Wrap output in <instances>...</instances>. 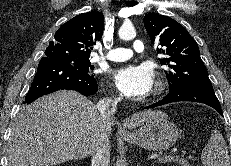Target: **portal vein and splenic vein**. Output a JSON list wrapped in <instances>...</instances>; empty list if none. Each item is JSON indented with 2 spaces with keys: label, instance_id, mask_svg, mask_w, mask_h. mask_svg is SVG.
<instances>
[{
  "label": "portal vein and splenic vein",
  "instance_id": "1",
  "mask_svg": "<svg viewBox=\"0 0 231 166\" xmlns=\"http://www.w3.org/2000/svg\"><path fill=\"white\" fill-rule=\"evenodd\" d=\"M171 153H172V152H171ZM167 157H170L171 159H175V157H173V156H168V155H164V156H162V157L155 156V157H151V159H158V160H160V159H162V158H167ZM176 160L178 161L179 158L176 157ZM179 162H180L183 166H188V161H187L186 159H184V158H181V159L179 160Z\"/></svg>",
  "mask_w": 231,
  "mask_h": 166
}]
</instances>
